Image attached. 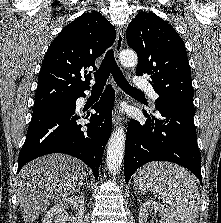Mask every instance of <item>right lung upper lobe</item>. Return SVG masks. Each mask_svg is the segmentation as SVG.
<instances>
[{
    "instance_id": "cb5924a9",
    "label": "right lung upper lobe",
    "mask_w": 221,
    "mask_h": 223,
    "mask_svg": "<svg viewBox=\"0 0 221 223\" xmlns=\"http://www.w3.org/2000/svg\"><path fill=\"white\" fill-rule=\"evenodd\" d=\"M116 38L114 27L99 12L85 13L68 24L53 40L38 76L35 105L73 99L90 89L87 67ZM84 73L85 81L81 80ZM91 73V72H90Z\"/></svg>"
}]
</instances>
